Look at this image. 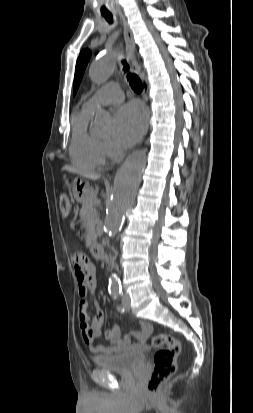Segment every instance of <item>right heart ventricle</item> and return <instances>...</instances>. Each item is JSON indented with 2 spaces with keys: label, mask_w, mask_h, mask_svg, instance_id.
<instances>
[{
  "label": "right heart ventricle",
  "mask_w": 253,
  "mask_h": 413,
  "mask_svg": "<svg viewBox=\"0 0 253 413\" xmlns=\"http://www.w3.org/2000/svg\"><path fill=\"white\" fill-rule=\"evenodd\" d=\"M93 110L83 107L72 118V139L70 156L72 161L83 167L99 168L106 160L103 140L89 128Z\"/></svg>",
  "instance_id": "obj_1"
}]
</instances>
